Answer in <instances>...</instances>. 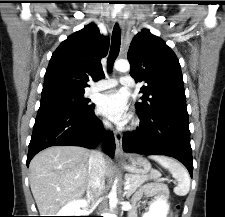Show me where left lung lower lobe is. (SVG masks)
I'll return each mask as SVG.
<instances>
[{
	"label": "left lung lower lobe",
	"mask_w": 225,
	"mask_h": 217,
	"mask_svg": "<svg viewBox=\"0 0 225 217\" xmlns=\"http://www.w3.org/2000/svg\"><path fill=\"white\" fill-rule=\"evenodd\" d=\"M138 114L140 127L133 133L124 134V151L174 157L185 165L192 177L193 158L187 109H161L150 114Z\"/></svg>",
	"instance_id": "obj_1"
}]
</instances>
